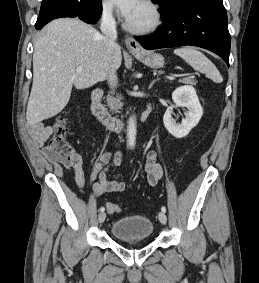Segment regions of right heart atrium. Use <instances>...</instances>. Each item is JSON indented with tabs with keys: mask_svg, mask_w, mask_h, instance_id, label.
I'll return each mask as SVG.
<instances>
[{
	"mask_svg": "<svg viewBox=\"0 0 259 283\" xmlns=\"http://www.w3.org/2000/svg\"><path fill=\"white\" fill-rule=\"evenodd\" d=\"M100 13L104 17H111L113 14V7L109 0L100 1Z\"/></svg>",
	"mask_w": 259,
	"mask_h": 283,
	"instance_id": "obj_1",
	"label": "right heart atrium"
}]
</instances>
